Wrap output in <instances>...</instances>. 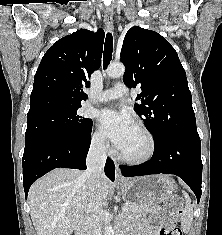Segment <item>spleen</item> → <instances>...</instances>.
I'll list each match as a JSON object with an SVG mask.
<instances>
[{
    "instance_id": "1",
    "label": "spleen",
    "mask_w": 222,
    "mask_h": 235,
    "mask_svg": "<svg viewBox=\"0 0 222 235\" xmlns=\"http://www.w3.org/2000/svg\"><path fill=\"white\" fill-rule=\"evenodd\" d=\"M183 193L186 199V206L183 210V216L181 218V227L184 232H189L193 220V206L189 196L185 192Z\"/></svg>"
}]
</instances>
